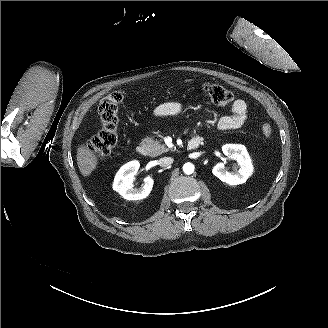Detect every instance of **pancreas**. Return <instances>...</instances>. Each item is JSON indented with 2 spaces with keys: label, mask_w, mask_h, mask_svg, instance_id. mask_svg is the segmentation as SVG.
<instances>
[{
  "label": "pancreas",
  "mask_w": 328,
  "mask_h": 328,
  "mask_svg": "<svg viewBox=\"0 0 328 328\" xmlns=\"http://www.w3.org/2000/svg\"><path fill=\"white\" fill-rule=\"evenodd\" d=\"M141 144L146 146L147 154L150 157H156L169 151V148H167L164 144H161L159 141L150 137L144 138Z\"/></svg>",
  "instance_id": "cf45deb5"
}]
</instances>
